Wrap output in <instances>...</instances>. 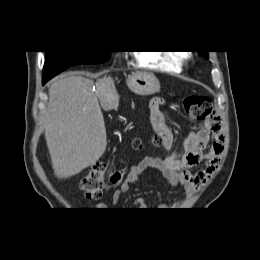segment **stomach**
I'll return each mask as SVG.
<instances>
[{
	"mask_svg": "<svg viewBox=\"0 0 260 260\" xmlns=\"http://www.w3.org/2000/svg\"><path fill=\"white\" fill-rule=\"evenodd\" d=\"M129 89L140 96L153 95L160 91V82L152 73H135L127 79Z\"/></svg>",
	"mask_w": 260,
	"mask_h": 260,
	"instance_id": "1",
	"label": "stomach"
}]
</instances>
